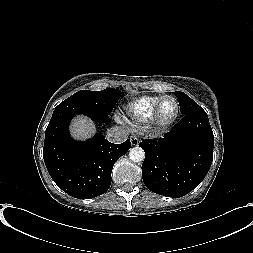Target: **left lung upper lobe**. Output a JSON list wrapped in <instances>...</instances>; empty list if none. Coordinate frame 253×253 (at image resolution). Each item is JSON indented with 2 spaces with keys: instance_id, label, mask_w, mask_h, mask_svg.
I'll return each mask as SVG.
<instances>
[{
  "instance_id": "5c2ea615",
  "label": "left lung upper lobe",
  "mask_w": 253,
  "mask_h": 253,
  "mask_svg": "<svg viewBox=\"0 0 253 253\" xmlns=\"http://www.w3.org/2000/svg\"><path fill=\"white\" fill-rule=\"evenodd\" d=\"M179 99V105L182 115L195 114L204 112V110L185 93L177 91L173 92Z\"/></svg>"
}]
</instances>
